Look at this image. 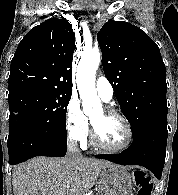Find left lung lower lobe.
<instances>
[{
  "instance_id": "obj_1",
  "label": "left lung lower lobe",
  "mask_w": 178,
  "mask_h": 195,
  "mask_svg": "<svg viewBox=\"0 0 178 195\" xmlns=\"http://www.w3.org/2000/svg\"><path fill=\"white\" fill-rule=\"evenodd\" d=\"M167 137L168 133L152 135L133 142L120 154L96 155V157L122 165L144 166L159 179L165 163Z\"/></svg>"
}]
</instances>
